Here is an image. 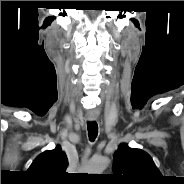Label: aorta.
Returning a JSON list of instances; mask_svg holds the SVG:
<instances>
[{
	"label": "aorta",
	"mask_w": 184,
	"mask_h": 184,
	"mask_svg": "<svg viewBox=\"0 0 184 184\" xmlns=\"http://www.w3.org/2000/svg\"><path fill=\"white\" fill-rule=\"evenodd\" d=\"M107 164H108L107 158L104 157L96 158L89 163L86 171H88L89 174H101L107 167Z\"/></svg>",
	"instance_id": "1"
}]
</instances>
